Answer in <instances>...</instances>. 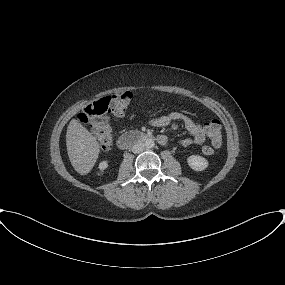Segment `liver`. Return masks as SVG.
Segmentation results:
<instances>
[{"instance_id":"obj_1","label":"liver","mask_w":285,"mask_h":285,"mask_svg":"<svg viewBox=\"0 0 285 285\" xmlns=\"http://www.w3.org/2000/svg\"><path fill=\"white\" fill-rule=\"evenodd\" d=\"M66 146L69 160L79 174H88L98 156L99 144L96 138L76 119L67 127Z\"/></svg>"}]
</instances>
